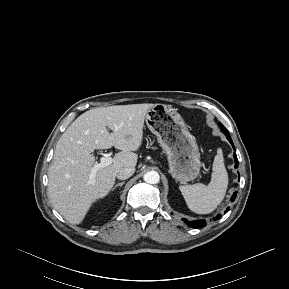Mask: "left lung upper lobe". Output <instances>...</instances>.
I'll return each instance as SVG.
<instances>
[{
	"label": "left lung upper lobe",
	"mask_w": 289,
	"mask_h": 289,
	"mask_svg": "<svg viewBox=\"0 0 289 289\" xmlns=\"http://www.w3.org/2000/svg\"><path fill=\"white\" fill-rule=\"evenodd\" d=\"M219 126L221 127L222 132H223L224 134L229 133L228 130H227L221 123H219Z\"/></svg>",
	"instance_id": "1"
}]
</instances>
